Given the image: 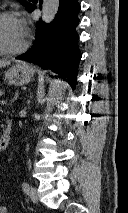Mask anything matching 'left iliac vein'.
Masks as SVG:
<instances>
[{"label":"left iliac vein","instance_id":"obj_1","mask_svg":"<svg viewBox=\"0 0 128 213\" xmlns=\"http://www.w3.org/2000/svg\"><path fill=\"white\" fill-rule=\"evenodd\" d=\"M29 196L33 202L37 203L39 201V194L34 187H31Z\"/></svg>","mask_w":128,"mask_h":213}]
</instances>
